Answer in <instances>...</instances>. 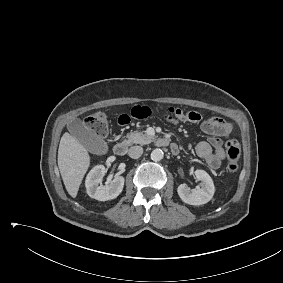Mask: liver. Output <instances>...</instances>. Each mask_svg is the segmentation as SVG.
Wrapping results in <instances>:
<instances>
[{
    "label": "liver",
    "mask_w": 283,
    "mask_h": 283,
    "mask_svg": "<svg viewBox=\"0 0 283 283\" xmlns=\"http://www.w3.org/2000/svg\"><path fill=\"white\" fill-rule=\"evenodd\" d=\"M90 165L86 148L65 132L58 149V167L69 195L77 196L80 184Z\"/></svg>",
    "instance_id": "6515ba94"
}]
</instances>
